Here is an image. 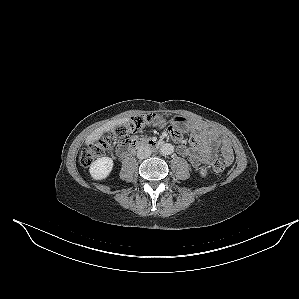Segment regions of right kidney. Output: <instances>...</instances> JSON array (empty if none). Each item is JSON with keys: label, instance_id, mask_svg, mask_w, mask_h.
Segmentation results:
<instances>
[{"label": "right kidney", "instance_id": "obj_1", "mask_svg": "<svg viewBox=\"0 0 299 299\" xmlns=\"http://www.w3.org/2000/svg\"><path fill=\"white\" fill-rule=\"evenodd\" d=\"M113 165V160L110 157L98 158L90 166V175L95 180H103L109 176Z\"/></svg>", "mask_w": 299, "mask_h": 299}]
</instances>
